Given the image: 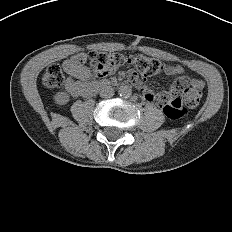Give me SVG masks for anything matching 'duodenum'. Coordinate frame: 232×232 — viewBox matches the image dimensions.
<instances>
[{"instance_id":"1","label":"duodenum","mask_w":232,"mask_h":232,"mask_svg":"<svg viewBox=\"0 0 232 232\" xmlns=\"http://www.w3.org/2000/svg\"><path fill=\"white\" fill-rule=\"evenodd\" d=\"M108 86H110V82L107 80H98L96 82L90 83L87 86L88 94L93 95L98 89L105 88Z\"/></svg>"}]
</instances>
